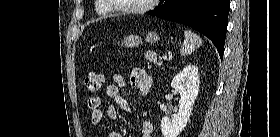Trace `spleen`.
Masks as SVG:
<instances>
[{"label":"spleen","mask_w":280,"mask_h":137,"mask_svg":"<svg viewBox=\"0 0 280 137\" xmlns=\"http://www.w3.org/2000/svg\"><path fill=\"white\" fill-rule=\"evenodd\" d=\"M184 36L185 39L180 50L182 56L191 54L202 44L201 38L189 30L184 31Z\"/></svg>","instance_id":"spleen-1"}]
</instances>
